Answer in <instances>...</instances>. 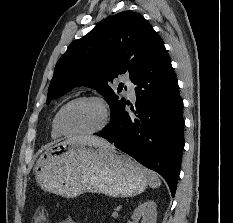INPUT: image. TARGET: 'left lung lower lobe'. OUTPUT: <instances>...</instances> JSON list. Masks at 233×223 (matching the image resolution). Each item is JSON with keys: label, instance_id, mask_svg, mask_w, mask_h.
Segmentation results:
<instances>
[{"label": "left lung lower lobe", "instance_id": "obj_1", "mask_svg": "<svg viewBox=\"0 0 233 223\" xmlns=\"http://www.w3.org/2000/svg\"><path fill=\"white\" fill-rule=\"evenodd\" d=\"M133 83L136 107L125 104L99 133L145 167L159 173L174 197L184 147L183 100L170 57L159 38Z\"/></svg>", "mask_w": 233, "mask_h": 223}]
</instances>
